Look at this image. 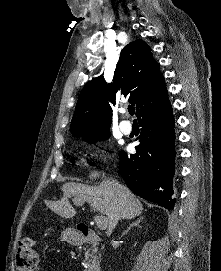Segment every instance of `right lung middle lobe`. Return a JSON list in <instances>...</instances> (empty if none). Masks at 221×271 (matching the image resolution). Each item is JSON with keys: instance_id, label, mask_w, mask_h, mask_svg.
Segmentation results:
<instances>
[{"instance_id": "right-lung-middle-lobe-1", "label": "right lung middle lobe", "mask_w": 221, "mask_h": 271, "mask_svg": "<svg viewBox=\"0 0 221 271\" xmlns=\"http://www.w3.org/2000/svg\"><path fill=\"white\" fill-rule=\"evenodd\" d=\"M110 136V130H105L97 133H91L79 137H83L82 139L88 143H94L101 140H106Z\"/></svg>"}]
</instances>
